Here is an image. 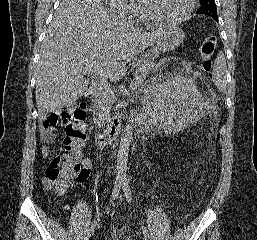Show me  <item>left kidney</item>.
<instances>
[{
	"instance_id": "obj_1",
	"label": "left kidney",
	"mask_w": 257,
	"mask_h": 240,
	"mask_svg": "<svg viewBox=\"0 0 257 240\" xmlns=\"http://www.w3.org/2000/svg\"><path fill=\"white\" fill-rule=\"evenodd\" d=\"M150 105L154 122L166 132L182 131L202 115V98L196 86L183 77L154 87Z\"/></svg>"
}]
</instances>
